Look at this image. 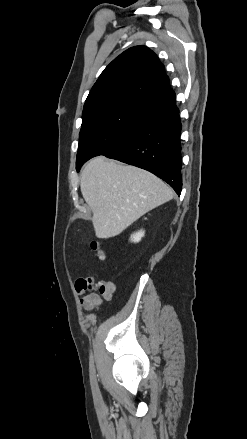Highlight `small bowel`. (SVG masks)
<instances>
[{
  "label": "small bowel",
  "instance_id": "obj_1",
  "mask_svg": "<svg viewBox=\"0 0 247 439\" xmlns=\"http://www.w3.org/2000/svg\"><path fill=\"white\" fill-rule=\"evenodd\" d=\"M76 292L81 295L80 304L87 311H97L105 302L113 299L117 286L111 281L95 282L93 277H80L75 281Z\"/></svg>",
  "mask_w": 247,
  "mask_h": 439
}]
</instances>
